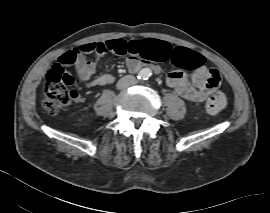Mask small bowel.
Instances as JSON below:
<instances>
[{
	"label": "small bowel",
	"mask_w": 270,
	"mask_h": 213,
	"mask_svg": "<svg viewBox=\"0 0 270 213\" xmlns=\"http://www.w3.org/2000/svg\"><path fill=\"white\" fill-rule=\"evenodd\" d=\"M105 43L103 41L82 43L77 47L79 53L75 61V70L81 82L90 86H106L112 83L113 78L108 74L93 78L100 58L106 53ZM139 44L140 46L153 44L155 49L150 51L144 59L128 58L126 66L130 71L136 72L143 66H152L157 69L155 61H169L174 63L176 68L168 73L166 82L169 87L176 90L185 99L201 102L209 93L217 89L220 76L218 72L214 73L212 69L199 67L191 74L190 79H187L182 69L190 62V51L188 49L177 48L168 42L157 39L144 40ZM89 54H95V59L88 60L86 56Z\"/></svg>",
	"instance_id": "c3829d8e"
}]
</instances>
